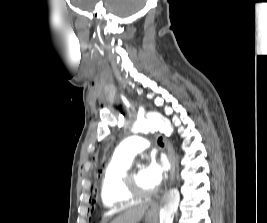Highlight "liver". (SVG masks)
<instances>
[{"instance_id":"6515ba94","label":"liver","mask_w":267,"mask_h":223,"mask_svg":"<svg viewBox=\"0 0 267 223\" xmlns=\"http://www.w3.org/2000/svg\"><path fill=\"white\" fill-rule=\"evenodd\" d=\"M148 204L130 208L115 218L111 223H138L143 218Z\"/></svg>"}]
</instances>
